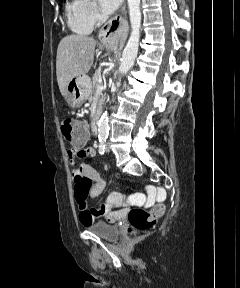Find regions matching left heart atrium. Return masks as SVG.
<instances>
[{
    "label": "left heart atrium",
    "instance_id": "left-heart-atrium-1",
    "mask_svg": "<svg viewBox=\"0 0 240 288\" xmlns=\"http://www.w3.org/2000/svg\"><path fill=\"white\" fill-rule=\"evenodd\" d=\"M98 1L102 10L106 14H110L113 11H115L122 2V0H98Z\"/></svg>",
    "mask_w": 240,
    "mask_h": 288
}]
</instances>
